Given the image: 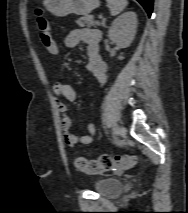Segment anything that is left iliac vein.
<instances>
[{
  "mask_svg": "<svg viewBox=\"0 0 188 213\" xmlns=\"http://www.w3.org/2000/svg\"><path fill=\"white\" fill-rule=\"evenodd\" d=\"M118 134H119L122 138H124V137L126 136V134H127L126 128L123 127V126H120V127L118 128Z\"/></svg>",
  "mask_w": 188,
  "mask_h": 213,
  "instance_id": "1",
  "label": "left iliac vein"
}]
</instances>
